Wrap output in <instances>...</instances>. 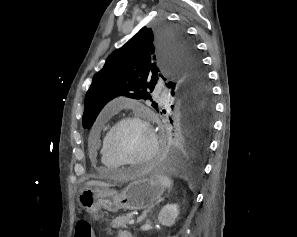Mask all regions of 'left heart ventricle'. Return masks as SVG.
<instances>
[{"mask_svg": "<svg viewBox=\"0 0 297 237\" xmlns=\"http://www.w3.org/2000/svg\"><path fill=\"white\" fill-rule=\"evenodd\" d=\"M112 146L123 159L135 161L143 158L149 152L151 142L144 126L129 122L114 132Z\"/></svg>", "mask_w": 297, "mask_h": 237, "instance_id": "left-heart-ventricle-1", "label": "left heart ventricle"}]
</instances>
